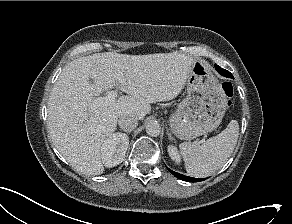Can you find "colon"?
Returning a JSON list of instances; mask_svg holds the SVG:
<instances>
[{
	"label": "colon",
	"mask_w": 292,
	"mask_h": 224,
	"mask_svg": "<svg viewBox=\"0 0 292 224\" xmlns=\"http://www.w3.org/2000/svg\"><path fill=\"white\" fill-rule=\"evenodd\" d=\"M221 87H222V90H223L225 96L228 99H230L233 96V86H232V84L230 82H228V81H225V82L222 83ZM228 103H230V101Z\"/></svg>",
	"instance_id": "5ec220e1"
}]
</instances>
